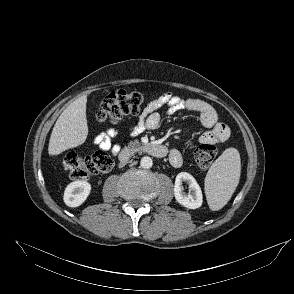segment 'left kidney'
Returning a JSON list of instances; mask_svg holds the SVG:
<instances>
[{
	"label": "left kidney",
	"mask_w": 294,
	"mask_h": 294,
	"mask_svg": "<svg viewBox=\"0 0 294 294\" xmlns=\"http://www.w3.org/2000/svg\"><path fill=\"white\" fill-rule=\"evenodd\" d=\"M183 182H186L191 189V193L188 195L183 191ZM174 196L179 204L189 209L199 208L203 202L200 186L198 185L195 178L187 172H181L176 176Z\"/></svg>",
	"instance_id": "5707ae66"
}]
</instances>
